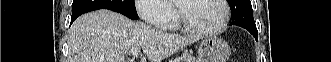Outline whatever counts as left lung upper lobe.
Listing matches in <instances>:
<instances>
[{
  "instance_id": "5c2ea615",
  "label": "left lung upper lobe",
  "mask_w": 331,
  "mask_h": 62,
  "mask_svg": "<svg viewBox=\"0 0 331 62\" xmlns=\"http://www.w3.org/2000/svg\"><path fill=\"white\" fill-rule=\"evenodd\" d=\"M228 3L231 9L230 25L246 28L257 39L258 31L254 22L250 0H228Z\"/></svg>"
}]
</instances>
